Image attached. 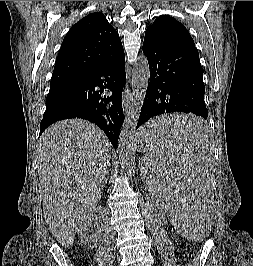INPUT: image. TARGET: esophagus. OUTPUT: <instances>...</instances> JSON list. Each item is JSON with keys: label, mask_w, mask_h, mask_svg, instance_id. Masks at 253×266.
I'll use <instances>...</instances> for the list:
<instances>
[{"label": "esophagus", "mask_w": 253, "mask_h": 266, "mask_svg": "<svg viewBox=\"0 0 253 266\" xmlns=\"http://www.w3.org/2000/svg\"><path fill=\"white\" fill-rule=\"evenodd\" d=\"M131 97H132L131 88L127 84L123 91V95H122V104H123V110L125 113L128 112V109L131 103Z\"/></svg>", "instance_id": "34e87169"}]
</instances>
